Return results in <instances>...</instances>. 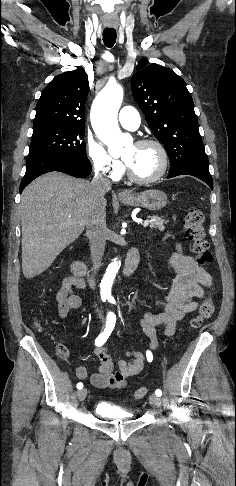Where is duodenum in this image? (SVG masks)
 Here are the masks:
<instances>
[{"label": "duodenum", "instance_id": "1", "mask_svg": "<svg viewBox=\"0 0 236 486\" xmlns=\"http://www.w3.org/2000/svg\"><path fill=\"white\" fill-rule=\"evenodd\" d=\"M139 263V254L137 249L132 248L128 251L124 268H123V273L125 276H130L133 274V272L136 270L137 266ZM71 271L73 275L79 279H82L83 277H86L89 275V272L87 270V267L85 264L80 261V260H75L71 264Z\"/></svg>", "mask_w": 236, "mask_h": 486}]
</instances>
